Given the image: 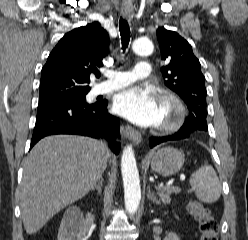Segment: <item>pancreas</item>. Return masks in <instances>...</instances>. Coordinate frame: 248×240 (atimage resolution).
Listing matches in <instances>:
<instances>
[{"instance_id": "pancreas-1", "label": "pancreas", "mask_w": 248, "mask_h": 240, "mask_svg": "<svg viewBox=\"0 0 248 240\" xmlns=\"http://www.w3.org/2000/svg\"><path fill=\"white\" fill-rule=\"evenodd\" d=\"M158 190H159L158 195H159L161 201L164 204H169L170 201H171L170 194L172 192H175V191H173V190H171L170 188H167V187H160V188H158ZM175 193H177V192H175Z\"/></svg>"}]
</instances>
